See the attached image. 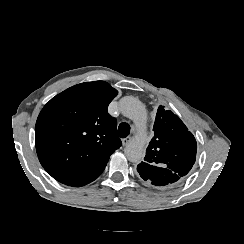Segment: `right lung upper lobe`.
Listing matches in <instances>:
<instances>
[{
	"mask_svg": "<svg viewBox=\"0 0 244 244\" xmlns=\"http://www.w3.org/2000/svg\"><path fill=\"white\" fill-rule=\"evenodd\" d=\"M117 93L107 82H85L44 106L35 126L36 151L57 181L76 186L92 182L121 146L117 121L107 112Z\"/></svg>",
	"mask_w": 244,
	"mask_h": 244,
	"instance_id": "right-lung-upper-lobe-1",
	"label": "right lung upper lobe"
}]
</instances>
